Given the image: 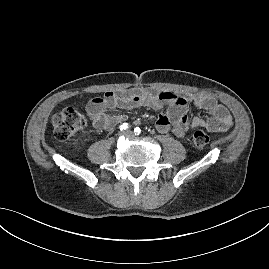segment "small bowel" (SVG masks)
<instances>
[{
  "label": "small bowel",
  "mask_w": 269,
  "mask_h": 269,
  "mask_svg": "<svg viewBox=\"0 0 269 269\" xmlns=\"http://www.w3.org/2000/svg\"><path fill=\"white\" fill-rule=\"evenodd\" d=\"M190 104L206 111L208 116L190 119L187 115ZM165 105L168 109L156 117V129L160 133L172 131L177 137L184 138L192 128L226 132L232 126L229 111L214 97L204 94L179 95L170 90L107 91L87 104L86 113L95 128L110 130L126 119L124 115L109 114L110 109H133L141 106L159 109Z\"/></svg>",
  "instance_id": "obj_1"
}]
</instances>
